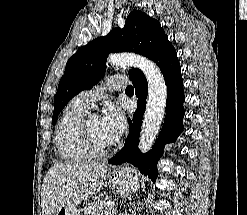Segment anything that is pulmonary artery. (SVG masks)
<instances>
[{"label":"pulmonary artery","instance_id":"pulmonary-artery-1","mask_svg":"<svg viewBox=\"0 0 247 215\" xmlns=\"http://www.w3.org/2000/svg\"><path fill=\"white\" fill-rule=\"evenodd\" d=\"M128 78L122 75L111 76L106 81L89 90H84L77 94L73 101L83 109L88 110L93 102L99 99L107 89L120 90L126 87Z\"/></svg>","mask_w":247,"mask_h":215}]
</instances>
